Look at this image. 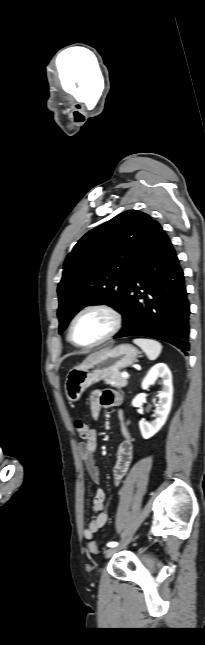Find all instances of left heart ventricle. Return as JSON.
<instances>
[{
  "instance_id": "1",
  "label": "left heart ventricle",
  "mask_w": 205,
  "mask_h": 645,
  "mask_svg": "<svg viewBox=\"0 0 205 645\" xmlns=\"http://www.w3.org/2000/svg\"><path fill=\"white\" fill-rule=\"evenodd\" d=\"M110 320L104 313L91 311L83 314L76 321L73 336L77 342L91 343L106 334Z\"/></svg>"
}]
</instances>
